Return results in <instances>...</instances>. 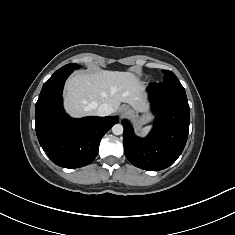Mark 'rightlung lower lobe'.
<instances>
[{
    "label": "right lung lower lobe",
    "instance_id": "1",
    "mask_svg": "<svg viewBox=\"0 0 235 235\" xmlns=\"http://www.w3.org/2000/svg\"><path fill=\"white\" fill-rule=\"evenodd\" d=\"M71 73L55 72L43 85L35 108V129L41 147L56 165L79 168L95 159L101 138L118 123V117L70 118L61 95Z\"/></svg>",
    "mask_w": 235,
    "mask_h": 235
}]
</instances>
